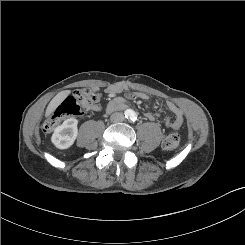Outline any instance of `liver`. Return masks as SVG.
<instances>
[{
  "label": "liver",
  "instance_id": "liver-1",
  "mask_svg": "<svg viewBox=\"0 0 245 245\" xmlns=\"http://www.w3.org/2000/svg\"><path fill=\"white\" fill-rule=\"evenodd\" d=\"M70 93V90H64L59 92L48 104L45 116L48 117L49 115H51L55 111V109L61 104V102L69 96Z\"/></svg>",
  "mask_w": 245,
  "mask_h": 245
}]
</instances>
